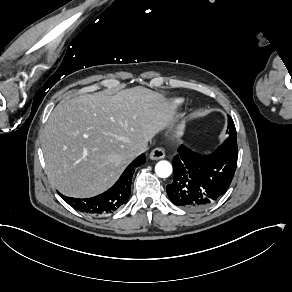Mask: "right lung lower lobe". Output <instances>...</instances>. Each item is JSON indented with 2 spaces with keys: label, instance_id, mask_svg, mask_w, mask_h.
I'll return each mask as SVG.
<instances>
[{
  "label": "right lung lower lobe",
  "instance_id": "obj_1",
  "mask_svg": "<svg viewBox=\"0 0 292 292\" xmlns=\"http://www.w3.org/2000/svg\"><path fill=\"white\" fill-rule=\"evenodd\" d=\"M145 155L141 154L137 157L123 172L118 181L106 192L95 197L80 199L66 197L59 193L63 200H65L74 209L91 214L100 215L112 213L121 205L128 201L131 193V180L136 167L145 163Z\"/></svg>",
  "mask_w": 292,
  "mask_h": 292
}]
</instances>
